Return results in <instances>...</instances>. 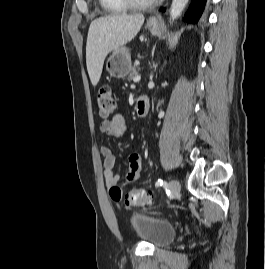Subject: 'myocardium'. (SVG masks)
Listing matches in <instances>:
<instances>
[{
    "instance_id": "myocardium-1",
    "label": "myocardium",
    "mask_w": 265,
    "mask_h": 269,
    "mask_svg": "<svg viewBox=\"0 0 265 269\" xmlns=\"http://www.w3.org/2000/svg\"><path fill=\"white\" fill-rule=\"evenodd\" d=\"M160 0H123V2L132 9H145L149 8Z\"/></svg>"
}]
</instances>
